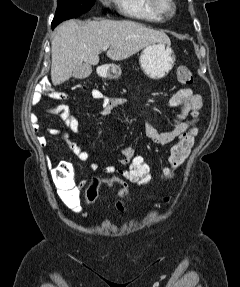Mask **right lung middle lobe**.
<instances>
[{"label": "right lung middle lobe", "mask_w": 240, "mask_h": 287, "mask_svg": "<svg viewBox=\"0 0 240 287\" xmlns=\"http://www.w3.org/2000/svg\"><path fill=\"white\" fill-rule=\"evenodd\" d=\"M96 0H57L52 29L64 20L76 18L90 10Z\"/></svg>", "instance_id": "obj_1"}]
</instances>
